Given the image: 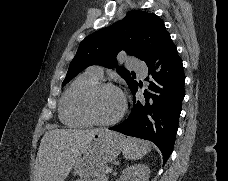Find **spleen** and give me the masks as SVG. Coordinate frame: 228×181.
Here are the masks:
<instances>
[{
    "label": "spleen",
    "mask_w": 228,
    "mask_h": 181,
    "mask_svg": "<svg viewBox=\"0 0 228 181\" xmlns=\"http://www.w3.org/2000/svg\"><path fill=\"white\" fill-rule=\"evenodd\" d=\"M150 151V143L141 141V139H125L122 147L125 159H131V161L143 159L144 155H147Z\"/></svg>",
    "instance_id": "spleen-1"
}]
</instances>
